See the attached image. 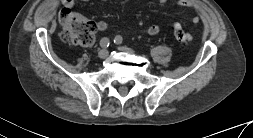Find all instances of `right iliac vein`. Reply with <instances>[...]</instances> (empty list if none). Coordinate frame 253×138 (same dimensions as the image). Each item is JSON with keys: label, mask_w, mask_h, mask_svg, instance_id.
Returning <instances> with one entry per match:
<instances>
[{"label": "right iliac vein", "mask_w": 253, "mask_h": 138, "mask_svg": "<svg viewBox=\"0 0 253 138\" xmlns=\"http://www.w3.org/2000/svg\"><path fill=\"white\" fill-rule=\"evenodd\" d=\"M108 54H109V52H108L107 49H102V50L99 51L98 57L100 59H105L108 56Z\"/></svg>", "instance_id": "obj_1"}]
</instances>
